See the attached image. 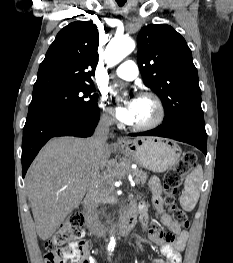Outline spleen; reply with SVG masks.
<instances>
[{
  "label": "spleen",
  "instance_id": "3e777b00",
  "mask_svg": "<svg viewBox=\"0 0 233 263\" xmlns=\"http://www.w3.org/2000/svg\"><path fill=\"white\" fill-rule=\"evenodd\" d=\"M203 182L202 166L198 165L186 177L184 192L180 197V205L185 211H192L199 199L200 188Z\"/></svg>",
  "mask_w": 233,
  "mask_h": 263
}]
</instances>
